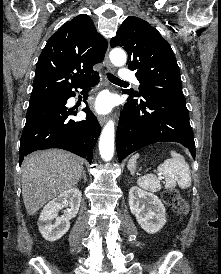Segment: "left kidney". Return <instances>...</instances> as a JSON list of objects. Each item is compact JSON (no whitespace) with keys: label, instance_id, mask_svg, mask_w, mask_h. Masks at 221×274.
Listing matches in <instances>:
<instances>
[{"label":"left kidney","instance_id":"obj_1","mask_svg":"<svg viewBox=\"0 0 221 274\" xmlns=\"http://www.w3.org/2000/svg\"><path fill=\"white\" fill-rule=\"evenodd\" d=\"M129 206L138 224L149 234L157 233L166 223V210L161 200L137 186L129 191Z\"/></svg>","mask_w":221,"mask_h":274}]
</instances>
